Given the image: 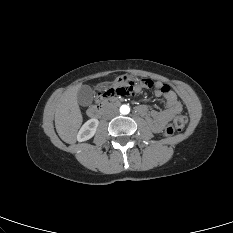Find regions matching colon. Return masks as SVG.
<instances>
[{"instance_id": "obj_1", "label": "colon", "mask_w": 233, "mask_h": 233, "mask_svg": "<svg viewBox=\"0 0 233 233\" xmlns=\"http://www.w3.org/2000/svg\"><path fill=\"white\" fill-rule=\"evenodd\" d=\"M144 87L154 86V82L151 79H145L141 82ZM115 93L119 95H132L135 93V81L133 80L132 84L128 87L122 86L120 88H110L103 93L104 97L113 96ZM187 117L184 115L176 116L171 123L166 127L165 134L170 136L176 132L182 131L187 125Z\"/></svg>"}]
</instances>
